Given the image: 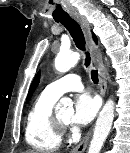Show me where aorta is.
<instances>
[{
	"mask_svg": "<svg viewBox=\"0 0 130 153\" xmlns=\"http://www.w3.org/2000/svg\"><path fill=\"white\" fill-rule=\"evenodd\" d=\"M80 59V55L77 52H60L55 59V69L58 72L65 73L75 66ZM114 101L108 99L102 110L99 113L96 121L93 138L90 142L88 153H99L103 143L105 142L114 118ZM73 102L70 98H62L58 105V109L73 110Z\"/></svg>",
	"mask_w": 130,
	"mask_h": 153,
	"instance_id": "aorta-1",
	"label": "aorta"
}]
</instances>
